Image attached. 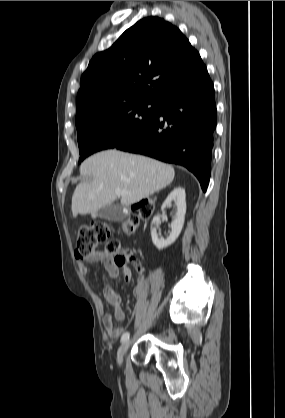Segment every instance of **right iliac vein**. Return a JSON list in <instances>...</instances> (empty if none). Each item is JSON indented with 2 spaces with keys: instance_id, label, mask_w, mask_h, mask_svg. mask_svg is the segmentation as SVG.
Instances as JSON below:
<instances>
[{
  "instance_id": "1",
  "label": "right iliac vein",
  "mask_w": 285,
  "mask_h": 418,
  "mask_svg": "<svg viewBox=\"0 0 285 418\" xmlns=\"http://www.w3.org/2000/svg\"><path fill=\"white\" fill-rule=\"evenodd\" d=\"M130 344H131V341L129 339H127L119 347L118 352H117V361H118L119 365L122 364L123 357L126 354L127 350L129 349Z\"/></svg>"
}]
</instances>
